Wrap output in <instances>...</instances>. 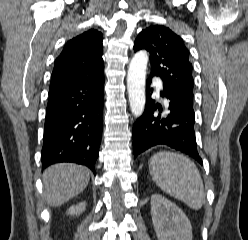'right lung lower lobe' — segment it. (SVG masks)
Segmentation results:
<instances>
[{
  "label": "right lung lower lobe",
  "mask_w": 248,
  "mask_h": 240,
  "mask_svg": "<svg viewBox=\"0 0 248 240\" xmlns=\"http://www.w3.org/2000/svg\"><path fill=\"white\" fill-rule=\"evenodd\" d=\"M104 74L49 90L41 161L87 166L95 173L102 135Z\"/></svg>",
  "instance_id": "98d812e1"
}]
</instances>
